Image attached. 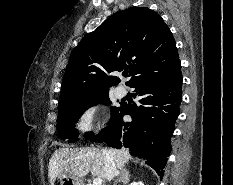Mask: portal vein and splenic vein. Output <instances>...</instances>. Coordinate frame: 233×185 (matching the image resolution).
I'll list each match as a JSON object with an SVG mask.
<instances>
[{"mask_svg":"<svg viewBox=\"0 0 233 185\" xmlns=\"http://www.w3.org/2000/svg\"><path fill=\"white\" fill-rule=\"evenodd\" d=\"M93 185H102V179L101 178H95L93 180Z\"/></svg>","mask_w":233,"mask_h":185,"instance_id":"portal-vein-and-splenic-vein-1","label":"portal vein and splenic vein"}]
</instances>
